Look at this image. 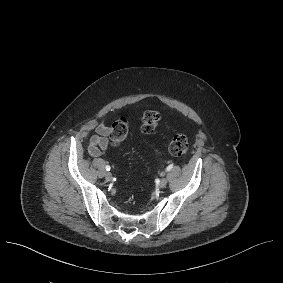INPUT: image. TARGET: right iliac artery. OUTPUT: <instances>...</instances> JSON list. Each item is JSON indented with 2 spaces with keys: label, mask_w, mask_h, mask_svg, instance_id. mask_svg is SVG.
<instances>
[{
  "label": "right iliac artery",
  "mask_w": 283,
  "mask_h": 283,
  "mask_svg": "<svg viewBox=\"0 0 283 283\" xmlns=\"http://www.w3.org/2000/svg\"><path fill=\"white\" fill-rule=\"evenodd\" d=\"M105 168H106L107 171H110V169H111L109 165H107Z\"/></svg>",
  "instance_id": "1"
}]
</instances>
